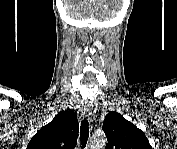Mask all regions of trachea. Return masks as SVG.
<instances>
[{"label": "trachea", "instance_id": "1", "mask_svg": "<svg viewBox=\"0 0 177 149\" xmlns=\"http://www.w3.org/2000/svg\"><path fill=\"white\" fill-rule=\"evenodd\" d=\"M89 138V123L87 120H83L80 126V140L83 147H86Z\"/></svg>", "mask_w": 177, "mask_h": 149}]
</instances>
